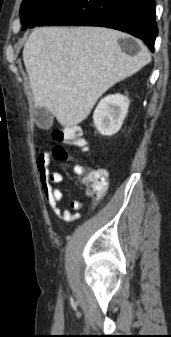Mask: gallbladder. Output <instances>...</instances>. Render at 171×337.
<instances>
[{
  "label": "gallbladder",
  "instance_id": "1",
  "mask_svg": "<svg viewBox=\"0 0 171 337\" xmlns=\"http://www.w3.org/2000/svg\"><path fill=\"white\" fill-rule=\"evenodd\" d=\"M53 116L46 108H37L36 124L43 129L49 128L52 124Z\"/></svg>",
  "mask_w": 171,
  "mask_h": 337
}]
</instances>
